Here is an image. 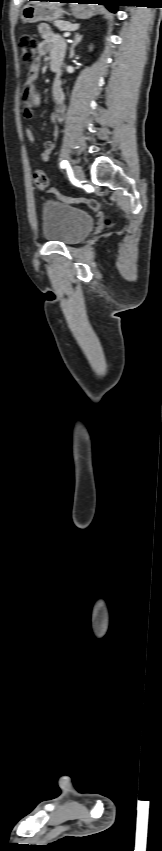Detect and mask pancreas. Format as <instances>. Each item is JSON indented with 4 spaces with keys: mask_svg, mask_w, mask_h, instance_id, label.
<instances>
[{
    "mask_svg": "<svg viewBox=\"0 0 162 851\" xmlns=\"http://www.w3.org/2000/svg\"><path fill=\"white\" fill-rule=\"evenodd\" d=\"M54 25H55V26H56V27H57L60 31H71V30H73L74 28L78 27V24H72V23H70V22H68V21H61V20H57V21H55V22H54Z\"/></svg>",
    "mask_w": 162,
    "mask_h": 851,
    "instance_id": "cf45deb5",
    "label": "pancreas"
}]
</instances>
